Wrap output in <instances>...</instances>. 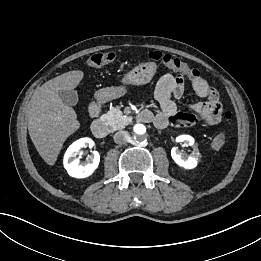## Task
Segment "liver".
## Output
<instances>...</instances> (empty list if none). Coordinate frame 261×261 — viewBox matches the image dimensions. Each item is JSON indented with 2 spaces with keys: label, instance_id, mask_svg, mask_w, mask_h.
Listing matches in <instances>:
<instances>
[{
  "label": "liver",
  "instance_id": "6515ba94",
  "mask_svg": "<svg viewBox=\"0 0 261 261\" xmlns=\"http://www.w3.org/2000/svg\"><path fill=\"white\" fill-rule=\"evenodd\" d=\"M83 76L80 70L57 76L37 88L29 102V135L48 165L55 164L65 140L80 128L75 110L62 102L58 92L75 89Z\"/></svg>",
  "mask_w": 261,
  "mask_h": 261
}]
</instances>
